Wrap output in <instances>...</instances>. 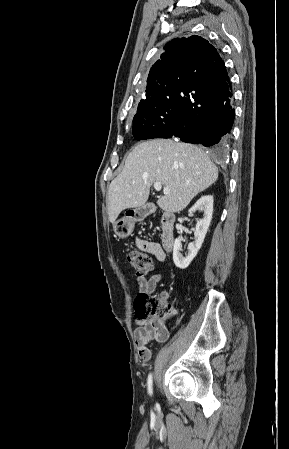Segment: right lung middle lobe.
I'll return each mask as SVG.
<instances>
[{"mask_svg": "<svg viewBox=\"0 0 289 449\" xmlns=\"http://www.w3.org/2000/svg\"><path fill=\"white\" fill-rule=\"evenodd\" d=\"M178 109L176 90H163L146 95L133 118L132 133L136 140L150 139L175 120Z\"/></svg>", "mask_w": 289, "mask_h": 449, "instance_id": "1", "label": "right lung middle lobe"}]
</instances>
